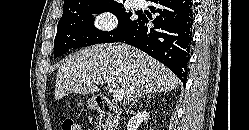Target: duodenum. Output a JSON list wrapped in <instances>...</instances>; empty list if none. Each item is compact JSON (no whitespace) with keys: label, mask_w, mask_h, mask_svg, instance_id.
<instances>
[{"label":"duodenum","mask_w":249,"mask_h":130,"mask_svg":"<svg viewBox=\"0 0 249 130\" xmlns=\"http://www.w3.org/2000/svg\"><path fill=\"white\" fill-rule=\"evenodd\" d=\"M96 104L98 111L109 118L108 130H114L120 115L119 107L104 96L97 97Z\"/></svg>","instance_id":"1"}]
</instances>
